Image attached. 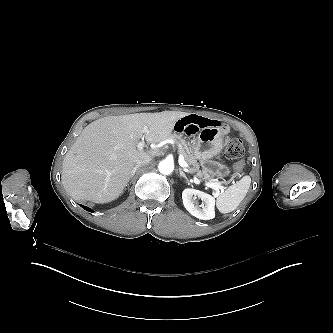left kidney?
<instances>
[{"label": "left kidney", "mask_w": 333, "mask_h": 333, "mask_svg": "<svg viewBox=\"0 0 333 333\" xmlns=\"http://www.w3.org/2000/svg\"><path fill=\"white\" fill-rule=\"evenodd\" d=\"M202 201L198 207L195 199ZM183 204L187 211L196 218L209 220L214 218V198L206 193L194 189H185L182 194Z\"/></svg>", "instance_id": "obj_1"}]
</instances>
